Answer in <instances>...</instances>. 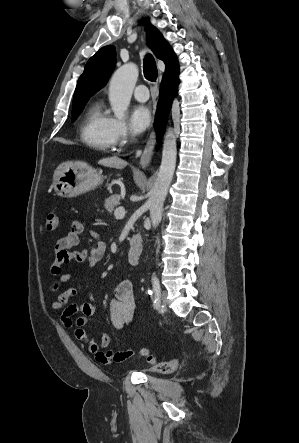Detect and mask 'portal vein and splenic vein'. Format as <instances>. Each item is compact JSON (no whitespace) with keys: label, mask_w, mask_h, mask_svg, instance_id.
<instances>
[{"label":"portal vein and splenic vein","mask_w":299,"mask_h":443,"mask_svg":"<svg viewBox=\"0 0 299 443\" xmlns=\"http://www.w3.org/2000/svg\"><path fill=\"white\" fill-rule=\"evenodd\" d=\"M125 214H126V211H125L124 207H118L114 212V216L116 219H123Z\"/></svg>","instance_id":"1"}]
</instances>
